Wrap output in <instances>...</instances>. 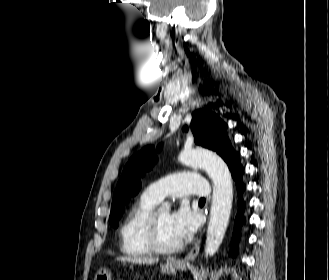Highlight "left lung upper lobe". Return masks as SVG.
<instances>
[{"instance_id":"1","label":"left lung upper lobe","mask_w":329,"mask_h":280,"mask_svg":"<svg viewBox=\"0 0 329 280\" xmlns=\"http://www.w3.org/2000/svg\"><path fill=\"white\" fill-rule=\"evenodd\" d=\"M191 129L196 144L216 151L229 168L240 162L239 154L226 137L227 125L216 113L206 109L196 110L192 115ZM153 149V146L143 148L135 153L124 167L113 195L109 217L111 226L118 227V221L124 213L125 206L131 197L139 192L141 181L136 177L143 176L155 163L157 158Z\"/></svg>"}]
</instances>
